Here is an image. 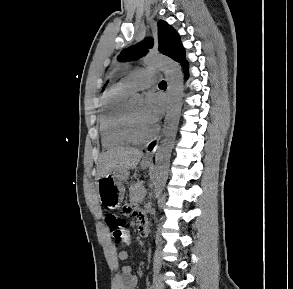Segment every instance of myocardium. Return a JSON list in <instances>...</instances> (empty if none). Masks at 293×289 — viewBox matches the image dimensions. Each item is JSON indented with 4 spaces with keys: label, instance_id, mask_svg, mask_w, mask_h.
Segmentation results:
<instances>
[{
    "label": "myocardium",
    "instance_id": "obj_1",
    "mask_svg": "<svg viewBox=\"0 0 293 289\" xmlns=\"http://www.w3.org/2000/svg\"><path fill=\"white\" fill-rule=\"evenodd\" d=\"M124 128H125V134L129 142L136 145H142V144L150 142L152 139L155 138L158 132V128L154 126L149 135L145 137L138 136L135 131L134 122L130 112V106L128 105L125 108Z\"/></svg>",
    "mask_w": 293,
    "mask_h": 289
}]
</instances>
